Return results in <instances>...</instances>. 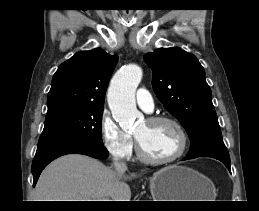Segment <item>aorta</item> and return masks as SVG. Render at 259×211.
Here are the masks:
<instances>
[{
	"mask_svg": "<svg viewBox=\"0 0 259 211\" xmlns=\"http://www.w3.org/2000/svg\"><path fill=\"white\" fill-rule=\"evenodd\" d=\"M142 74L141 67L130 64L115 73L109 86L108 105L113 118L124 131L132 130L142 117L135 102V91Z\"/></svg>",
	"mask_w": 259,
	"mask_h": 211,
	"instance_id": "aorta-1",
	"label": "aorta"
}]
</instances>
